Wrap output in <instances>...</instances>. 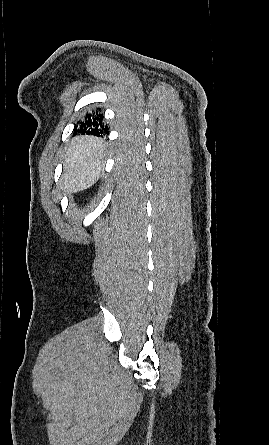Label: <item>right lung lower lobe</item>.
I'll list each match as a JSON object with an SVG mask.
<instances>
[{
    "label": "right lung lower lobe",
    "instance_id": "98d812e1",
    "mask_svg": "<svg viewBox=\"0 0 269 445\" xmlns=\"http://www.w3.org/2000/svg\"><path fill=\"white\" fill-rule=\"evenodd\" d=\"M99 110L96 109L86 114L84 119L75 127L74 134H93L95 136L108 134V126L103 123V116Z\"/></svg>",
    "mask_w": 269,
    "mask_h": 445
}]
</instances>
